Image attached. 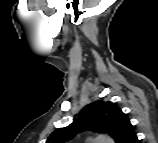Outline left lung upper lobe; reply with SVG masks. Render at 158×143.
Instances as JSON below:
<instances>
[{
    "instance_id": "obj_1",
    "label": "left lung upper lobe",
    "mask_w": 158,
    "mask_h": 143,
    "mask_svg": "<svg viewBox=\"0 0 158 143\" xmlns=\"http://www.w3.org/2000/svg\"><path fill=\"white\" fill-rule=\"evenodd\" d=\"M83 130L110 132L116 143H128L135 135L127 114L110 101L99 100L87 105L67 127L55 130L46 143H61Z\"/></svg>"
}]
</instances>
